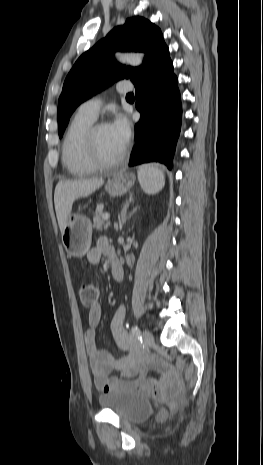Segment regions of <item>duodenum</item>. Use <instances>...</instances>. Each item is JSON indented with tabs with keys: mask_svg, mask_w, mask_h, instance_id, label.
Segmentation results:
<instances>
[{
	"mask_svg": "<svg viewBox=\"0 0 263 465\" xmlns=\"http://www.w3.org/2000/svg\"><path fill=\"white\" fill-rule=\"evenodd\" d=\"M110 264L113 278L116 281H121L123 278V268L116 255L110 257Z\"/></svg>",
	"mask_w": 263,
	"mask_h": 465,
	"instance_id": "410a0bca",
	"label": "duodenum"
}]
</instances>
